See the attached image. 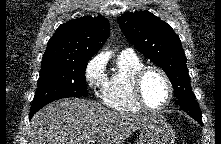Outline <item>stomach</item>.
I'll return each instance as SVG.
<instances>
[{
	"instance_id": "1",
	"label": "stomach",
	"mask_w": 221,
	"mask_h": 144,
	"mask_svg": "<svg viewBox=\"0 0 221 144\" xmlns=\"http://www.w3.org/2000/svg\"><path fill=\"white\" fill-rule=\"evenodd\" d=\"M175 132L170 124L161 117L153 118L141 129L140 144H174Z\"/></svg>"
}]
</instances>
